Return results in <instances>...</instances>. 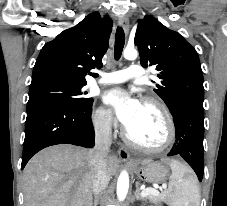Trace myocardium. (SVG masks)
Wrapping results in <instances>:
<instances>
[{"mask_svg":"<svg viewBox=\"0 0 227 206\" xmlns=\"http://www.w3.org/2000/svg\"><path fill=\"white\" fill-rule=\"evenodd\" d=\"M142 104L151 105L157 108L158 111L161 113L166 126L165 139L159 145L155 146L142 145L135 141L127 130H125L124 132L125 139L133 147L146 152H161L168 149L174 143L176 136V127L170 110L168 109L164 102L154 97H144L142 99Z\"/></svg>","mask_w":227,"mask_h":206,"instance_id":"obj_1","label":"myocardium"}]
</instances>
